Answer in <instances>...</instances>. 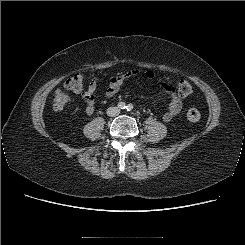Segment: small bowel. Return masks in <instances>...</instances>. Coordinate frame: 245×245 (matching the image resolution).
Listing matches in <instances>:
<instances>
[{
  "label": "small bowel",
  "instance_id": "c3829d8e",
  "mask_svg": "<svg viewBox=\"0 0 245 245\" xmlns=\"http://www.w3.org/2000/svg\"><path fill=\"white\" fill-rule=\"evenodd\" d=\"M139 74L136 69L129 70L125 73L117 74L111 77L109 84L105 90V96L107 98L113 97L120 89L122 84ZM146 77L150 80L156 78L155 73L148 71ZM159 84L168 95L169 103L166 112L163 114V120L165 122L171 121L182 109V100L175 91L173 85L166 80H159ZM97 90V79H93L88 88L82 93V97L86 103V113L92 115L95 112V93Z\"/></svg>",
  "mask_w": 245,
  "mask_h": 245
}]
</instances>
